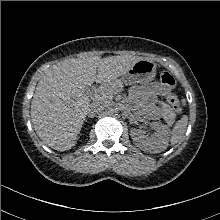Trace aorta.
Here are the masks:
<instances>
[{"mask_svg": "<svg viewBox=\"0 0 220 220\" xmlns=\"http://www.w3.org/2000/svg\"><path fill=\"white\" fill-rule=\"evenodd\" d=\"M110 113H111L112 115H117L118 109H117V108H112V109L110 110Z\"/></svg>", "mask_w": 220, "mask_h": 220, "instance_id": "aorta-1", "label": "aorta"}]
</instances>
